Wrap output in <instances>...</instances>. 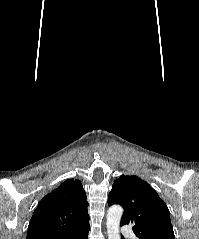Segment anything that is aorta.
Here are the masks:
<instances>
[{"instance_id":"762f6f07","label":"aorta","mask_w":199,"mask_h":239,"mask_svg":"<svg viewBox=\"0 0 199 239\" xmlns=\"http://www.w3.org/2000/svg\"><path fill=\"white\" fill-rule=\"evenodd\" d=\"M123 214V208L119 205L111 206L107 213V234L108 239L120 238V220Z\"/></svg>"}]
</instances>
